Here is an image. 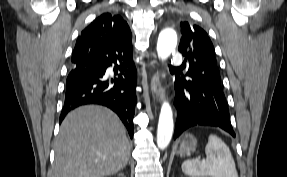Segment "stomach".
Returning a JSON list of instances; mask_svg holds the SVG:
<instances>
[{
    "label": "stomach",
    "mask_w": 287,
    "mask_h": 177,
    "mask_svg": "<svg viewBox=\"0 0 287 177\" xmlns=\"http://www.w3.org/2000/svg\"><path fill=\"white\" fill-rule=\"evenodd\" d=\"M196 147L197 139L194 135L187 133L181 139L177 154L181 157L190 156L193 152H195Z\"/></svg>",
    "instance_id": "stomach-1"
}]
</instances>
